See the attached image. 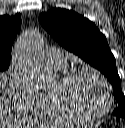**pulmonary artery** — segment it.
<instances>
[{"label": "pulmonary artery", "instance_id": "pulmonary-artery-1", "mask_svg": "<svg viewBox=\"0 0 125 128\" xmlns=\"http://www.w3.org/2000/svg\"><path fill=\"white\" fill-rule=\"evenodd\" d=\"M46 63L49 66H62L66 64V54L57 48H50L46 51Z\"/></svg>", "mask_w": 125, "mask_h": 128}]
</instances>
